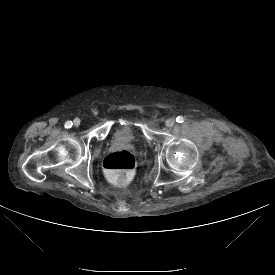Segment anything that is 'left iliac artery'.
<instances>
[{"instance_id":"left-iliac-artery-1","label":"left iliac artery","mask_w":275,"mask_h":275,"mask_svg":"<svg viewBox=\"0 0 275 275\" xmlns=\"http://www.w3.org/2000/svg\"><path fill=\"white\" fill-rule=\"evenodd\" d=\"M176 122L182 123V122H184V118H183L182 116H178V117L176 118Z\"/></svg>"}]
</instances>
